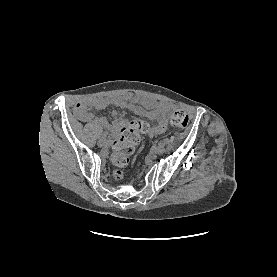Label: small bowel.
I'll return each instance as SVG.
<instances>
[{"label": "small bowel", "mask_w": 277, "mask_h": 277, "mask_svg": "<svg viewBox=\"0 0 277 277\" xmlns=\"http://www.w3.org/2000/svg\"><path fill=\"white\" fill-rule=\"evenodd\" d=\"M109 104L129 109L136 114L154 120L155 124L149 131L150 136L161 134L166 129L167 115L170 111V106L163 102H156L130 93L115 95L110 98L86 99L83 103L76 105V114L81 121H93L100 127L107 128L113 133H118L126 125V120L122 117H117L115 111L112 112L113 120L111 122H108L102 117H94L86 111L87 106H94L98 109H102ZM144 106H146L147 109H145Z\"/></svg>", "instance_id": "small-bowel-1"}]
</instances>
